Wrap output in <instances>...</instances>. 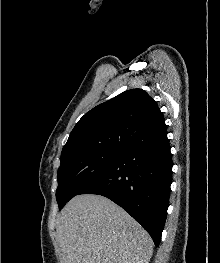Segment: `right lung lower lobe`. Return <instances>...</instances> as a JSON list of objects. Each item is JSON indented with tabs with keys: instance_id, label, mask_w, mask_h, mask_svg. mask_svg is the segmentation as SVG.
Instances as JSON below:
<instances>
[{
	"instance_id": "1",
	"label": "right lung lower lobe",
	"mask_w": 220,
	"mask_h": 263,
	"mask_svg": "<svg viewBox=\"0 0 220 263\" xmlns=\"http://www.w3.org/2000/svg\"><path fill=\"white\" fill-rule=\"evenodd\" d=\"M172 166L167 132L156 138L137 140L77 195L98 194L109 198L138 221L158 247L169 206Z\"/></svg>"
}]
</instances>
